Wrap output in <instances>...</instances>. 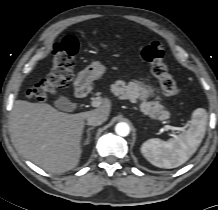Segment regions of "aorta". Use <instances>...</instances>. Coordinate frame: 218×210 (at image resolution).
<instances>
[{
    "instance_id": "aorta-1",
    "label": "aorta",
    "mask_w": 218,
    "mask_h": 210,
    "mask_svg": "<svg viewBox=\"0 0 218 210\" xmlns=\"http://www.w3.org/2000/svg\"><path fill=\"white\" fill-rule=\"evenodd\" d=\"M115 131L120 136H127L130 132V128L127 123L120 122L116 125Z\"/></svg>"
}]
</instances>
